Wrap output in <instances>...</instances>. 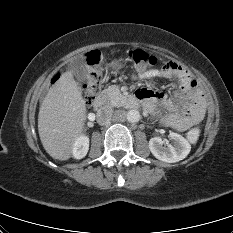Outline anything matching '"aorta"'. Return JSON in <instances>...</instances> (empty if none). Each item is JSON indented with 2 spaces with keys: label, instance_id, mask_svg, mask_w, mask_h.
<instances>
[{
  "label": "aorta",
  "instance_id": "obj_1",
  "mask_svg": "<svg viewBox=\"0 0 233 233\" xmlns=\"http://www.w3.org/2000/svg\"><path fill=\"white\" fill-rule=\"evenodd\" d=\"M126 119L130 123H136L140 120V113L138 110H129L126 114Z\"/></svg>",
  "mask_w": 233,
  "mask_h": 233
}]
</instances>
